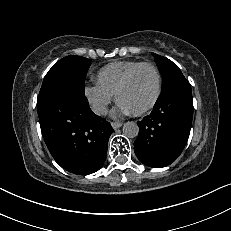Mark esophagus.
I'll return each mask as SVG.
<instances>
[{
    "label": "esophagus",
    "mask_w": 231,
    "mask_h": 231,
    "mask_svg": "<svg viewBox=\"0 0 231 231\" xmlns=\"http://www.w3.org/2000/svg\"><path fill=\"white\" fill-rule=\"evenodd\" d=\"M111 126L114 128V129H118L122 126V123L121 122H111Z\"/></svg>",
    "instance_id": "1"
}]
</instances>
